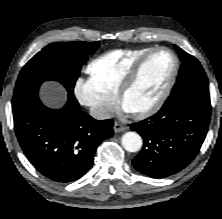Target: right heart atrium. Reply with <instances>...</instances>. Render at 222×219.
I'll return each mask as SVG.
<instances>
[{
    "label": "right heart atrium",
    "mask_w": 222,
    "mask_h": 219,
    "mask_svg": "<svg viewBox=\"0 0 222 219\" xmlns=\"http://www.w3.org/2000/svg\"><path fill=\"white\" fill-rule=\"evenodd\" d=\"M73 93L77 101L97 119H106L114 110L115 99L101 94L90 79H76Z\"/></svg>",
    "instance_id": "d8ad5b80"
}]
</instances>
